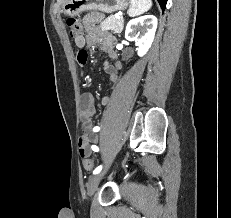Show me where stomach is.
<instances>
[{"mask_svg":"<svg viewBox=\"0 0 231 218\" xmlns=\"http://www.w3.org/2000/svg\"><path fill=\"white\" fill-rule=\"evenodd\" d=\"M128 0H65L63 10L69 16H76L85 11L98 10L114 13L125 10Z\"/></svg>","mask_w":231,"mask_h":218,"instance_id":"0dacf381","label":"stomach"}]
</instances>
